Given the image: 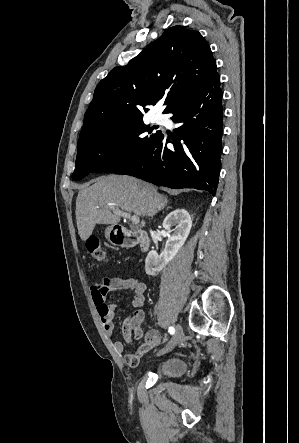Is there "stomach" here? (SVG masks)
Wrapping results in <instances>:
<instances>
[{"label":"stomach","instance_id":"0dacf381","mask_svg":"<svg viewBox=\"0 0 299 443\" xmlns=\"http://www.w3.org/2000/svg\"><path fill=\"white\" fill-rule=\"evenodd\" d=\"M112 229H113V227H108V228H106V231H105V237H106L109 241H111V232H112Z\"/></svg>","mask_w":299,"mask_h":443}]
</instances>
